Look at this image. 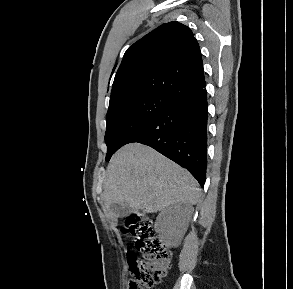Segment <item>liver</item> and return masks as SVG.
<instances>
[{
  "label": "liver",
  "mask_w": 293,
  "mask_h": 289,
  "mask_svg": "<svg viewBox=\"0 0 293 289\" xmlns=\"http://www.w3.org/2000/svg\"><path fill=\"white\" fill-rule=\"evenodd\" d=\"M103 199L110 216L114 203L126 201L132 212L153 213L176 203L196 204L200 189L184 168L154 149L128 144L111 158L104 179Z\"/></svg>",
  "instance_id": "liver-1"
}]
</instances>
